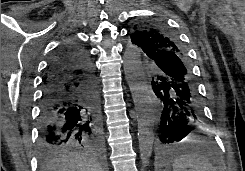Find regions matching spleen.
I'll return each instance as SVG.
<instances>
[{
  "instance_id": "3e777b00",
  "label": "spleen",
  "mask_w": 245,
  "mask_h": 171,
  "mask_svg": "<svg viewBox=\"0 0 245 171\" xmlns=\"http://www.w3.org/2000/svg\"><path fill=\"white\" fill-rule=\"evenodd\" d=\"M173 171H216L210 160L198 153L183 154L173 161Z\"/></svg>"
}]
</instances>
